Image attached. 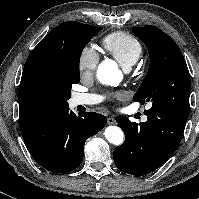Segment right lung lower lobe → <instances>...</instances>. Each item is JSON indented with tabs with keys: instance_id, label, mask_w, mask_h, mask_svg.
Returning a JSON list of instances; mask_svg holds the SVG:
<instances>
[{
	"instance_id": "98d812e1",
	"label": "right lung lower lobe",
	"mask_w": 199,
	"mask_h": 199,
	"mask_svg": "<svg viewBox=\"0 0 199 199\" xmlns=\"http://www.w3.org/2000/svg\"><path fill=\"white\" fill-rule=\"evenodd\" d=\"M106 122V116L99 113L76 116L66 107L25 145L34 160L46 170L70 172L82 162L85 141L98 133Z\"/></svg>"
}]
</instances>
